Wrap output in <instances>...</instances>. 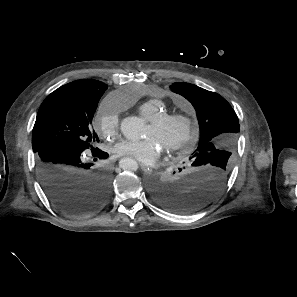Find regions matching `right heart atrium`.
I'll list each match as a JSON object with an SVG mask.
<instances>
[{
	"label": "right heart atrium",
	"mask_w": 297,
	"mask_h": 297,
	"mask_svg": "<svg viewBox=\"0 0 297 297\" xmlns=\"http://www.w3.org/2000/svg\"><path fill=\"white\" fill-rule=\"evenodd\" d=\"M121 111L122 106L119 105L114 96L109 95L102 100L95 122L104 137L114 138L117 135Z\"/></svg>",
	"instance_id": "right-heart-atrium-1"
}]
</instances>
